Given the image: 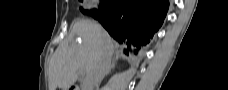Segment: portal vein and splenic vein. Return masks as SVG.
<instances>
[{"mask_svg": "<svg viewBox=\"0 0 228 90\" xmlns=\"http://www.w3.org/2000/svg\"><path fill=\"white\" fill-rule=\"evenodd\" d=\"M78 72H79V74L83 75V71L82 70H79Z\"/></svg>", "mask_w": 228, "mask_h": 90, "instance_id": "1", "label": "portal vein and splenic vein"}]
</instances>
